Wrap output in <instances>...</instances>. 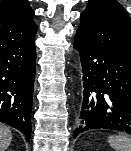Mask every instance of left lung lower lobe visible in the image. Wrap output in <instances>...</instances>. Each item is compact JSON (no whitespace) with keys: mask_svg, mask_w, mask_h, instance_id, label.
<instances>
[{"mask_svg":"<svg viewBox=\"0 0 131 151\" xmlns=\"http://www.w3.org/2000/svg\"><path fill=\"white\" fill-rule=\"evenodd\" d=\"M74 48L83 69V102L73 138L91 130L131 134V59L98 46L79 33Z\"/></svg>","mask_w":131,"mask_h":151,"instance_id":"0a47b994","label":"left lung lower lobe"}]
</instances>
